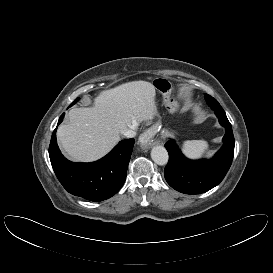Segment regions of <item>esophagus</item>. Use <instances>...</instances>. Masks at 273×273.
I'll return each mask as SVG.
<instances>
[{"label": "esophagus", "mask_w": 273, "mask_h": 273, "mask_svg": "<svg viewBox=\"0 0 273 273\" xmlns=\"http://www.w3.org/2000/svg\"><path fill=\"white\" fill-rule=\"evenodd\" d=\"M153 137L152 131L146 130L140 137V140L143 144H147Z\"/></svg>", "instance_id": "34e87169"}]
</instances>
